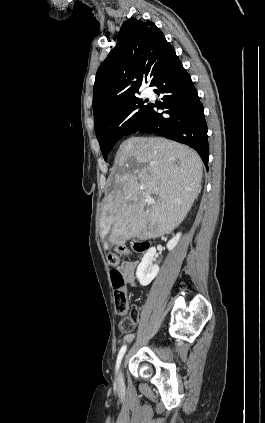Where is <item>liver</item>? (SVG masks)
<instances>
[{
    "mask_svg": "<svg viewBox=\"0 0 265 423\" xmlns=\"http://www.w3.org/2000/svg\"><path fill=\"white\" fill-rule=\"evenodd\" d=\"M202 160L186 145L160 137H131L115 157L114 190L104 198L101 238L112 245L157 238L174 230L201 192ZM153 195L156 204L147 205Z\"/></svg>",
    "mask_w": 265,
    "mask_h": 423,
    "instance_id": "6515ba94",
    "label": "liver"
}]
</instances>
